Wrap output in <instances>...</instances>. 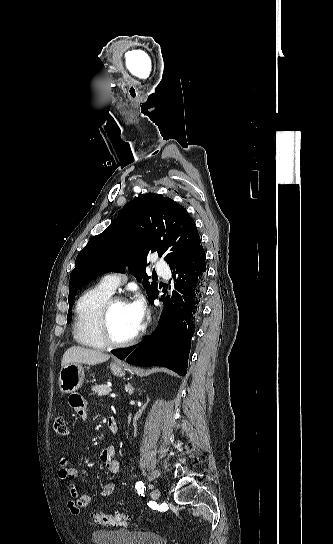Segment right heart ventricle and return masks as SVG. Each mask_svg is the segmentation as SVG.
<instances>
[{
    "label": "right heart ventricle",
    "instance_id": "e07e8e85",
    "mask_svg": "<svg viewBox=\"0 0 333 544\" xmlns=\"http://www.w3.org/2000/svg\"><path fill=\"white\" fill-rule=\"evenodd\" d=\"M113 292L101 283L87 289L77 300L73 323V335L77 343L103 349L106 344L99 333V315L104 303Z\"/></svg>",
    "mask_w": 333,
    "mask_h": 544
}]
</instances>
